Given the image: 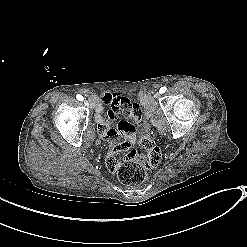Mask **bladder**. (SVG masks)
Returning <instances> with one entry per match:
<instances>
[{"label": "bladder", "instance_id": "bladder-1", "mask_svg": "<svg viewBox=\"0 0 247 247\" xmlns=\"http://www.w3.org/2000/svg\"><path fill=\"white\" fill-rule=\"evenodd\" d=\"M140 105L143 109H146L145 107V99L144 98H140ZM140 126L144 127V128H149L152 126V122L149 118H144L140 121Z\"/></svg>", "mask_w": 247, "mask_h": 247}]
</instances>
